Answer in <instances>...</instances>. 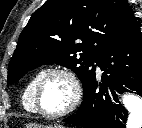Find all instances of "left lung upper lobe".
I'll use <instances>...</instances> for the list:
<instances>
[{
  "label": "left lung upper lobe",
  "mask_w": 142,
  "mask_h": 128,
  "mask_svg": "<svg viewBox=\"0 0 142 128\" xmlns=\"http://www.w3.org/2000/svg\"><path fill=\"white\" fill-rule=\"evenodd\" d=\"M138 27L127 0H47L19 36L8 83L42 64L56 63L72 69L84 91L95 74L93 63Z\"/></svg>",
  "instance_id": "5c2ea615"
}]
</instances>
